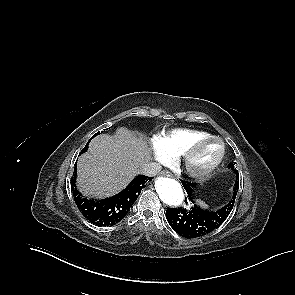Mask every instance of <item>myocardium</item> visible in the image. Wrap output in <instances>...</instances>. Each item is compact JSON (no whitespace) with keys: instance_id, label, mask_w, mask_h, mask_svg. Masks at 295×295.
Listing matches in <instances>:
<instances>
[{"instance_id":"myocardium-1","label":"myocardium","mask_w":295,"mask_h":295,"mask_svg":"<svg viewBox=\"0 0 295 295\" xmlns=\"http://www.w3.org/2000/svg\"><path fill=\"white\" fill-rule=\"evenodd\" d=\"M214 142L219 147L216 158L205 168H195L193 166V158L198 150L207 143ZM225 156V145L221 139L215 136H207L193 142L183 153L182 163L188 175L197 179H204L212 175L222 163Z\"/></svg>"}]
</instances>
